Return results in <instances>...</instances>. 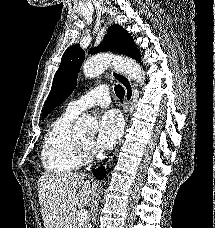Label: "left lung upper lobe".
<instances>
[{
	"label": "left lung upper lobe",
	"instance_id": "1",
	"mask_svg": "<svg viewBox=\"0 0 215 228\" xmlns=\"http://www.w3.org/2000/svg\"><path fill=\"white\" fill-rule=\"evenodd\" d=\"M102 51H117L141 60L139 50L131 35L119 25H112L103 41L90 50V54ZM85 59V52L79 44L70 46L63 54L61 64L52 84L51 92L45 102L42 117H45L56 106L61 104L74 90L79 69Z\"/></svg>",
	"mask_w": 215,
	"mask_h": 228
}]
</instances>
